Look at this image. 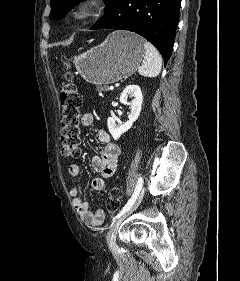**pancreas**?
Returning a JSON list of instances; mask_svg holds the SVG:
<instances>
[{"label":"pancreas","instance_id":"1","mask_svg":"<svg viewBox=\"0 0 240 281\" xmlns=\"http://www.w3.org/2000/svg\"><path fill=\"white\" fill-rule=\"evenodd\" d=\"M98 91H108V86H100L98 87Z\"/></svg>","mask_w":240,"mask_h":281}]
</instances>
